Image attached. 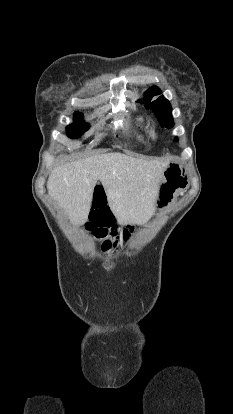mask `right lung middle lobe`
Returning <instances> with one entry per match:
<instances>
[{
  "label": "right lung middle lobe",
  "instance_id": "right-lung-middle-lobe-1",
  "mask_svg": "<svg viewBox=\"0 0 233 414\" xmlns=\"http://www.w3.org/2000/svg\"><path fill=\"white\" fill-rule=\"evenodd\" d=\"M82 114L76 112L74 114V122L66 128L67 135L70 138H77L89 129V125L83 122L80 118Z\"/></svg>",
  "mask_w": 233,
  "mask_h": 414
}]
</instances>
